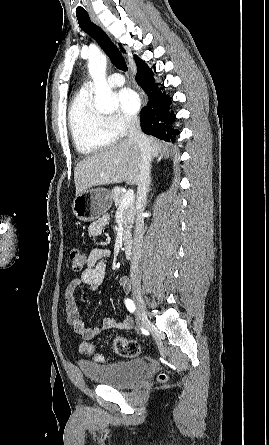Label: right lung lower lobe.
<instances>
[{"instance_id": "98d812e1", "label": "right lung lower lobe", "mask_w": 269, "mask_h": 445, "mask_svg": "<svg viewBox=\"0 0 269 445\" xmlns=\"http://www.w3.org/2000/svg\"><path fill=\"white\" fill-rule=\"evenodd\" d=\"M137 63L136 81L147 94L149 101L141 110V129L145 134L155 136L164 141L174 142L179 130L172 128L176 115L171 110V97L161 92L155 82L153 72L147 64L139 60Z\"/></svg>"}]
</instances>
